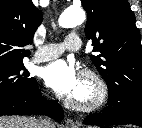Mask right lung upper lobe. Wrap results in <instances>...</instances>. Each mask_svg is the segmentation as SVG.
Here are the masks:
<instances>
[{
  "label": "right lung upper lobe",
  "mask_w": 142,
  "mask_h": 128,
  "mask_svg": "<svg viewBox=\"0 0 142 128\" xmlns=\"http://www.w3.org/2000/svg\"><path fill=\"white\" fill-rule=\"evenodd\" d=\"M41 21L31 0H0V65L23 64L30 55L23 47L32 43Z\"/></svg>",
  "instance_id": "right-lung-upper-lobe-1"
}]
</instances>
